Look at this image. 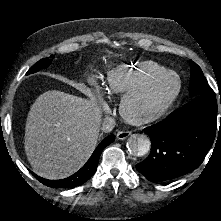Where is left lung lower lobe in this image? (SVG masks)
<instances>
[{"instance_id": "left-lung-lower-lobe-1", "label": "left lung lower lobe", "mask_w": 221, "mask_h": 221, "mask_svg": "<svg viewBox=\"0 0 221 221\" xmlns=\"http://www.w3.org/2000/svg\"><path fill=\"white\" fill-rule=\"evenodd\" d=\"M144 132L151 139V152L136 169L154 182L185 175L200 166L218 132L216 97L195 96Z\"/></svg>"}]
</instances>
